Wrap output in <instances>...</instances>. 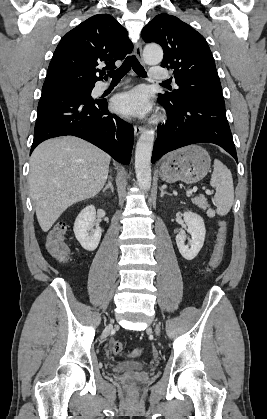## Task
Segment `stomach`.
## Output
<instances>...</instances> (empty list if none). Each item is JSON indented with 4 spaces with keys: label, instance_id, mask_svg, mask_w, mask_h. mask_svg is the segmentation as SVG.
Segmentation results:
<instances>
[{
    "label": "stomach",
    "instance_id": "stomach-1",
    "mask_svg": "<svg viewBox=\"0 0 267 419\" xmlns=\"http://www.w3.org/2000/svg\"><path fill=\"white\" fill-rule=\"evenodd\" d=\"M209 153L199 145H190L167 155L160 165V177L172 183L182 181L187 184L203 179L210 169Z\"/></svg>",
    "mask_w": 267,
    "mask_h": 419
}]
</instances>
